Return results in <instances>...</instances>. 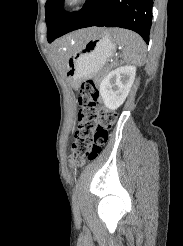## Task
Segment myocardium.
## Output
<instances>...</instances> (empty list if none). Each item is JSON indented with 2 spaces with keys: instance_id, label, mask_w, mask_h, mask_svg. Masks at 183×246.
I'll return each mask as SVG.
<instances>
[{
  "instance_id": "f54148a6",
  "label": "myocardium",
  "mask_w": 183,
  "mask_h": 246,
  "mask_svg": "<svg viewBox=\"0 0 183 246\" xmlns=\"http://www.w3.org/2000/svg\"><path fill=\"white\" fill-rule=\"evenodd\" d=\"M87 0H64L63 8L68 11H74L82 7Z\"/></svg>"
}]
</instances>
